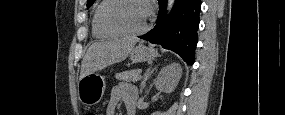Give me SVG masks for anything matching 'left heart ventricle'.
I'll return each instance as SVG.
<instances>
[{
    "label": "left heart ventricle",
    "instance_id": "b2bd125f",
    "mask_svg": "<svg viewBox=\"0 0 285 115\" xmlns=\"http://www.w3.org/2000/svg\"><path fill=\"white\" fill-rule=\"evenodd\" d=\"M109 19L127 31L142 29L147 21V10L139 1H125L111 9Z\"/></svg>",
    "mask_w": 285,
    "mask_h": 115
}]
</instances>
